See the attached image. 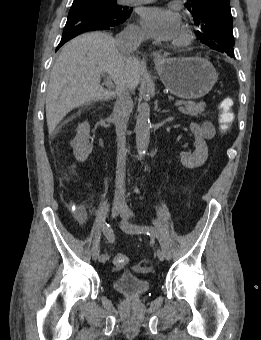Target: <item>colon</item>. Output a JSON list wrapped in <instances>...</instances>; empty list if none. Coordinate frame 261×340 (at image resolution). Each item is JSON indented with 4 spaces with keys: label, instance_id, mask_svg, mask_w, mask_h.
Returning a JSON list of instances; mask_svg holds the SVG:
<instances>
[{
    "label": "colon",
    "instance_id": "colon-1",
    "mask_svg": "<svg viewBox=\"0 0 261 340\" xmlns=\"http://www.w3.org/2000/svg\"><path fill=\"white\" fill-rule=\"evenodd\" d=\"M234 101L230 97L223 98L218 104L219 124L222 130H227L234 122L235 115L233 111ZM128 263V258L124 254H116L113 257V264L116 268L122 269Z\"/></svg>",
    "mask_w": 261,
    "mask_h": 340
}]
</instances>
